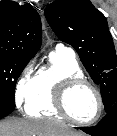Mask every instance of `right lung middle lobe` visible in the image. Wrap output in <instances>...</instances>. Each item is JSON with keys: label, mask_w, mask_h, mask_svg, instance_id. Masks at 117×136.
Instances as JSON below:
<instances>
[{"label": "right lung middle lobe", "mask_w": 117, "mask_h": 136, "mask_svg": "<svg viewBox=\"0 0 117 136\" xmlns=\"http://www.w3.org/2000/svg\"><path fill=\"white\" fill-rule=\"evenodd\" d=\"M29 59L0 56V99L15 101V84Z\"/></svg>", "instance_id": "dd1d6c3e"}]
</instances>
